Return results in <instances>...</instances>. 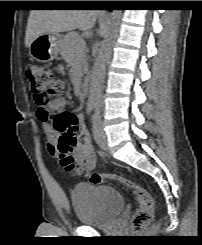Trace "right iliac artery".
<instances>
[{
	"instance_id": "82829eb1",
	"label": "right iliac artery",
	"mask_w": 202,
	"mask_h": 245,
	"mask_svg": "<svg viewBox=\"0 0 202 245\" xmlns=\"http://www.w3.org/2000/svg\"><path fill=\"white\" fill-rule=\"evenodd\" d=\"M92 110H93V105L89 104L87 107V113L90 114Z\"/></svg>"
}]
</instances>
